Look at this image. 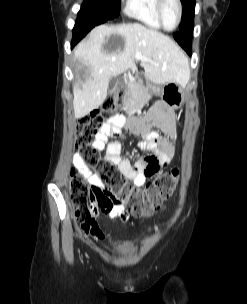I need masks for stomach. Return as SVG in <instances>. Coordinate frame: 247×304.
<instances>
[{
	"label": "stomach",
	"instance_id": "stomach-1",
	"mask_svg": "<svg viewBox=\"0 0 247 304\" xmlns=\"http://www.w3.org/2000/svg\"><path fill=\"white\" fill-rule=\"evenodd\" d=\"M155 93L171 108L178 109L185 102V94L179 84L175 82L167 83L156 88Z\"/></svg>",
	"mask_w": 247,
	"mask_h": 304
}]
</instances>
